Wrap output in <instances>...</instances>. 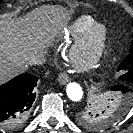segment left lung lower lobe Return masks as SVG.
<instances>
[{
  "label": "left lung lower lobe",
  "mask_w": 133,
  "mask_h": 133,
  "mask_svg": "<svg viewBox=\"0 0 133 133\" xmlns=\"http://www.w3.org/2000/svg\"><path fill=\"white\" fill-rule=\"evenodd\" d=\"M113 91H121L122 93H125L126 92V87L124 86H114L111 88ZM116 107H119V108H125L126 105L123 104V103H117L116 104ZM124 111V110H123Z\"/></svg>",
  "instance_id": "obj_1"
}]
</instances>
